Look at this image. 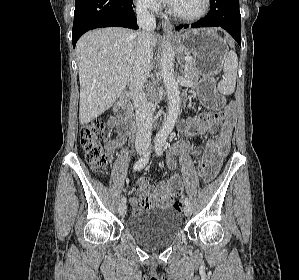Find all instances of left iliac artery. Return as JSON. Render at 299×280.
<instances>
[{"instance_id":"left-iliac-artery-1","label":"left iliac artery","mask_w":299,"mask_h":280,"mask_svg":"<svg viewBox=\"0 0 299 280\" xmlns=\"http://www.w3.org/2000/svg\"><path fill=\"white\" fill-rule=\"evenodd\" d=\"M164 145H165V139H159V140H157L156 145H155V152L158 155L162 154V149H163ZM184 203H185V205H190L189 199L185 198Z\"/></svg>"}]
</instances>
